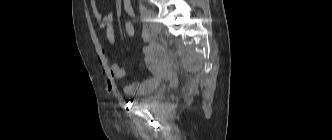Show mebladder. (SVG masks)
<instances>
[{"instance_id":"31cf9c89","label":"bladder","mask_w":332,"mask_h":140,"mask_svg":"<svg viewBox=\"0 0 332 140\" xmlns=\"http://www.w3.org/2000/svg\"><path fill=\"white\" fill-rule=\"evenodd\" d=\"M148 87L143 92L133 98L137 104H148L156 99L160 93L161 80L158 78L150 79L147 81Z\"/></svg>"}]
</instances>
